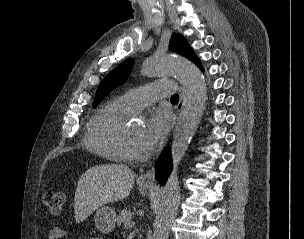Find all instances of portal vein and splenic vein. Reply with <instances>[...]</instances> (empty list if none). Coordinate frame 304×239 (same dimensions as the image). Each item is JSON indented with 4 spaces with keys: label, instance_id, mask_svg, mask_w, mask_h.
I'll return each instance as SVG.
<instances>
[{
    "label": "portal vein and splenic vein",
    "instance_id": "1",
    "mask_svg": "<svg viewBox=\"0 0 304 239\" xmlns=\"http://www.w3.org/2000/svg\"><path fill=\"white\" fill-rule=\"evenodd\" d=\"M134 225H135L134 222H130V223L128 224V226L131 227V228L134 227Z\"/></svg>",
    "mask_w": 304,
    "mask_h": 239
}]
</instances>
